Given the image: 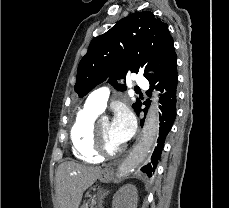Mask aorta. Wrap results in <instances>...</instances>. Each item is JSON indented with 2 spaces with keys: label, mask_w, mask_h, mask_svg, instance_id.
Instances as JSON below:
<instances>
[{
  "label": "aorta",
  "mask_w": 229,
  "mask_h": 208,
  "mask_svg": "<svg viewBox=\"0 0 229 208\" xmlns=\"http://www.w3.org/2000/svg\"><path fill=\"white\" fill-rule=\"evenodd\" d=\"M148 110L141 138L130 155L122 162L117 170V177H125L137 169L150 154L159 129L158 96L154 94Z\"/></svg>",
  "instance_id": "obj_1"
}]
</instances>
